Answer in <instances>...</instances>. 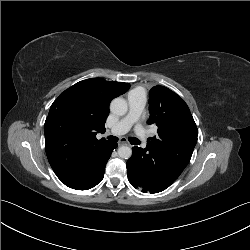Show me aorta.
Returning <instances> with one entry per match:
<instances>
[{
  "instance_id": "1",
  "label": "aorta",
  "mask_w": 250,
  "mask_h": 250,
  "mask_svg": "<svg viewBox=\"0 0 250 250\" xmlns=\"http://www.w3.org/2000/svg\"><path fill=\"white\" fill-rule=\"evenodd\" d=\"M110 110L112 113L122 116L126 114L128 110L127 102L124 98L117 97L112 100L110 104ZM118 155L122 159H129L132 155V150L128 146H121L118 149Z\"/></svg>"
}]
</instances>
